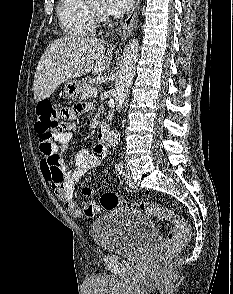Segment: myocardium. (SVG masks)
Masks as SVG:
<instances>
[{"label": "myocardium", "instance_id": "obj_1", "mask_svg": "<svg viewBox=\"0 0 233 294\" xmlns=\"http://www.w3.org/2000/svg\"><path fill=\"white\" fill-rule=\"evenodd\" d=\"M92 11H93V14L95 15V17H96L97 19H99L100 16H101V14H102V12H101V11H97V10H95V9H93Z\"/></svg>", "mask_w": 233, "mask_h": 294}]
</instances>
